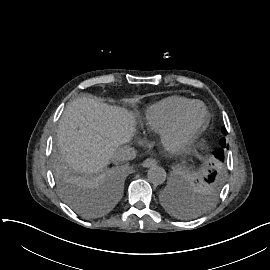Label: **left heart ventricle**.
Returning <instances> with one entry per match:
<instances>
[{
	"label": "left heart ventricle",
	"mask_w": 270,
	"mask_h": 270,
	"mask_svg": "<svg viewBox=\"0 0 270 270\" xmlns=\"http://www.w3.org/2000/svg\"><path fill=\"white\" fill-rule=\"evenodd\" d=\"M203 118H204L203 109L201 107H196L190 112L185 125L187 128L193 127L199 124L203 120ZM176 140L177 137L173 136L169 138L167 141L173 144Z\"/></svg>",
	"instance_id": "left-heart-ventricle-1"
}]
</instances>
